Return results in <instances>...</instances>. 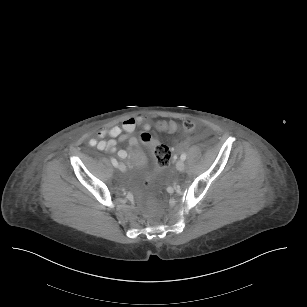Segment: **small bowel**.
<instances>
[{"mask_svg":"<svg viewBox=\"0 0 307 307\" xmlns=\"http://www.w3.org/2000/svg\"><path fill=\"white\" fill-rule=\"evenodd\" d=\"M137 127L142 129L151 127L148 118L146 116L127 118L121 125L100 131L95 138L89 141V144L100 150L116 153L122 160L129 159L131 162L143 165L146 161V154L140 146L138 138L134 136ZM106 136L110 139L105 140ZM117 138L121 141H127L129 149H118Z\"/></svg>","mask_w":307,"mask_h":307,"instance_id":"obj_1","label":"small bowel"}]
</instances>
